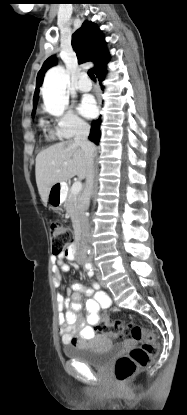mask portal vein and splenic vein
<instances>
[{
  "mask_svg": "<svg viewBox=\"0 0 187 415\" xmlns=\"http://www.w3.org/2000/svg\"><path fill=\"white\" fill-rule=\"evenodd\" d=\"M81 189H82V183L80 181H76V182L73 183V185L71 187V192L74 195H77V194H79V192L81 191Z\"/></svg>",
  "mask_w": 187,
  "mask_h": 415,
  "instance_id": "1",
  "label": "portal vein and splenic vein"
}]
</instances>
